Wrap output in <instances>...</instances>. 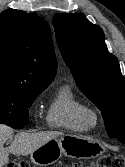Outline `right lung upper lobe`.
Returning <instances> with one entry per match:
<instances>
[{
	"instance_id": "obj_1",
	"label": "right lung upper lobe",
	"mask_w": 125,
	"mask_h": 167,
	"mask_svg": "<svg viewBox=\"0 0 125 167\" xmlns=\"http://www.w3.org/2000/svg\"><path fill=\"white\" fill-rule=\"evenodd\" d=\"M50 27L37 14L8 9L0 14V88L45 89L56 73Z\"/></svg>"
}]
</instances>
